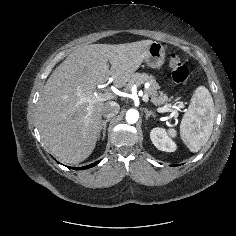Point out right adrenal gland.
<instances>
[{
  "label": "right adrenal gland",
  "instance_id": "right-adrenal-gland-1",
  "mask_svg": "<svg viewBox=\"0 0 236 236\" xmlns=\"http://www.w3.org/2000/svg\"><path fill=\"white\" fill-rule=\"evenodd\" d=\"M109 121H110V118H107L106 120H103V121L101 122L98 137L100 138V134H101V132H102V140L105 139V135H106V124H107V122H109Z\"/></svg>",
  "mask_w": 236,
  "mask_h": 236
}]
</instances>
